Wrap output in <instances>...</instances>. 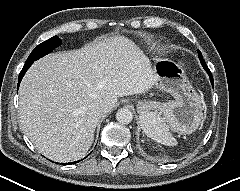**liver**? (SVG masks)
<instances>
[{"instance_id": "6515ba94", "label": "liver", "mask_w": 240, "mask_h": 191, "mask_svg": "<svg viewBox=\"0 0 240 191\" xmlns=\"http://www.w3.org/2000/svg\"><path fill=\"white\" fill-rule=\"evenodd\" d=\"M155 80L147 57L122 36L49 54L33 63L20 84V127L47 158L78 160L117 98L144 93ZM99 102L108 105L105 113L97 112Z\"/></svg>"}]
</instances>
